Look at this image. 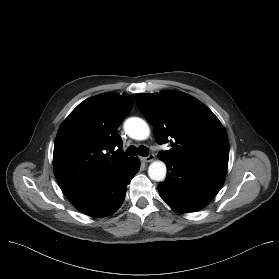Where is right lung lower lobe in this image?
Returning <instances> with one entry per match:
<instances>
[{"label":"right lung lower lobe","mask_w":279,"mask_h":279,"mask_svg":"<svg viewBox=\"0 0 279 279\" xmlns=\"http://www.w3.org/2000/svg\"><path fill=\"white\" fill-rule=\"evenodd\" d=\"M140 169L138 158L108 179L88 188L65 194L76 209L101 217L114 213L125 198L126 186Z\"/></svg>","instance_id":"obj_1"}]
</instances>
